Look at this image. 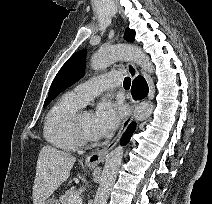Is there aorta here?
Returning <instances> with one entry per match:
<instances>
[{
  "instance_id": "762f6f07",
  "label": "aorta",
  "mask_w": 212,
  "mask_h": 204,
  "mask_svg": "<svg viewBox=\"0 0 212 204\" xmlns=\"http://www.w3.org/2000/svg\"><path fill=\"white\" fill-rule=\"evenodd\" d=\"M118 60H132L148 73H153L154 66L150 58L140 48L133 45H112L99 49L91 59L92 69L99 71L110 66ZM154 109L151 102H141L134 111V117L137 121L148 119ZM123 157V147L118 146L113 149L106 157L105 165L102 171L100 186L94 198V204H106L112 186L116 180L118 169Z\"/></svg>"
}]
</instances>
